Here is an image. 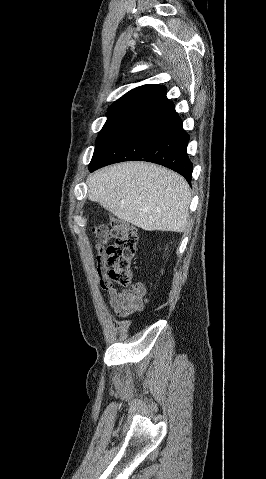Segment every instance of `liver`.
I'll return each mask as SVG.
<instances>
[{
  "mask_svg": "<svg viewBox=\"0 0 266 479\" xmlns=\"http://www.w3.org/2000/svg\"><path fill=\"white\" fill-rule=\"evenodd\" d=\"M88 199L146 231L184 232L190 188L179 174L146 162L105 167L88 179Z\"/></svg>",
  "mask_w": 266,
  "mask_h": 479,
  "instance_id": "1",
  "label": "liver"
}]
</instances>
